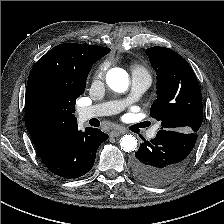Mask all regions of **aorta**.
Listing matches in <instances>:
<instances>
[{
    "label": "aorta",
    "instance_id": "1",
    "mask_svg": "<svg viewBox=\"0 0 224 224\" xmlns=\"http://www.w3.org/2000/svg\"><path fill=\"white\" fill-rule=\"evenodd\" d=\"M106 82L113 91L125 92L129 86L128 74L122 68H112L106 74ZM120 146L123 151L132 152L137 148V139L133 135H124L120 140Z\"/></svg>",
    "mask_w": 224,
    "mask_h": 224
}]
</instances>
